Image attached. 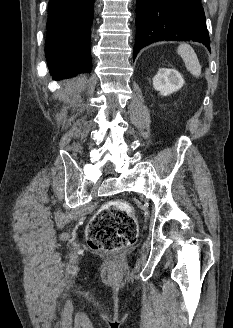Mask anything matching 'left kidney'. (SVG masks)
Listing matches in <instances>:
<instances>
[{
	"label": "left kidney",
	"mask_w": 233,
	"mask_h": 328,
	"mask_svg": "<svg viewBox=\"0 0 233 328\" xmlns=\"http://www.w3.org/2000/svg\"><path fill=\"white\" fill-rule=\"evenodd\" d=\"M183 84L182 75L173 68H160L153 78V87L161 96H168L178 91Z\"/></svg>",
	"instance_id": "obj_1"
}]
</instances>
